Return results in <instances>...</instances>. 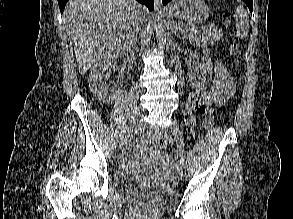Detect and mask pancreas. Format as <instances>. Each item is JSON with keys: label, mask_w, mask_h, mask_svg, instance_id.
Returning <instances> with one entry per match:
<instances>
[{"label": "pancreas", "mask_w": 293, "mask_h": 219, "mask_svg": "<svg viewBox=\"0 0 293 219\" xmlns=\"http://www.w3.org/2000/svg\"><path fill=\"white\" fill-rule=\"evenodd\" d=\"M180 30L185 36L192 39V41L202 45L214 44L219 41L223 35L221 30H205L192 23H181Z\"/></svg>", "instance_id": "cf45deb5"}]
</instances>
